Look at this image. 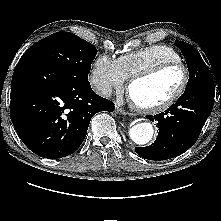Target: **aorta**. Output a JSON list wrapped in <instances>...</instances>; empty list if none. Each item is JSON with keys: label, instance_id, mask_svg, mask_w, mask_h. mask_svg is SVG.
<instances>
[{"label": "aorta", "instance_id": "1", "mask_svg": "<svg viewBox=\"0 0 221 221\" xmlns=\"http://www.w3.org/2000/svg\"><path fill=\"white\" fill-rule=\"evenodd\" d=\"M154 129L151 123H137L129 129V136L138 145H144L151 141Z\"/></svg>", "mask_w": 221, "mask_h": 221}]
</instances>
